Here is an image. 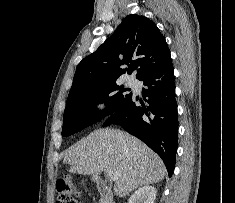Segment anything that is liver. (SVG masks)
I'll list each match as a JSON object with an SVG mask.
<instances>
[{"label":"liver","instance_id":"1","mask_svg":"<svg viewBox=\"0 0 235 203\" xmlns=\"http://www.w3.org/2000/svg\"><path fill=\"white\" fill-rule=\"evenodd\" d=\"M72 173L97 176L118 172L114 193L123 197L136 188L158 183L166 175L161 158L136 137L116 129L91 132L65 152Z\"/></svg>","mask_w":235,"mask_h":203}]
</instances>
